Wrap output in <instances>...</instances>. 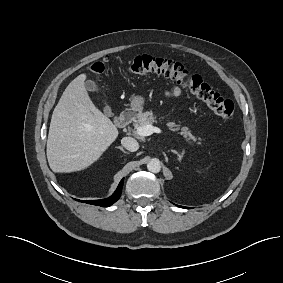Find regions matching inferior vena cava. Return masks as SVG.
<instances>
[{"mask_svg":"<svg viewBox=\"0 0 283 283\" xmlns=\"http://www.w3.org/2000/svg\"><path fill=\"white\" fill-rule=\"evenodd\" d=\"M121 144L123 145V147H125L127 150L131 152H135L139 149L138 142L132 137H124L121 140Z\"/></svg>","mask_w":283,"mask_h":283,"instance_id":"inferior-vena-cava-1","label":"inferior vena cava"}]
</instances>
